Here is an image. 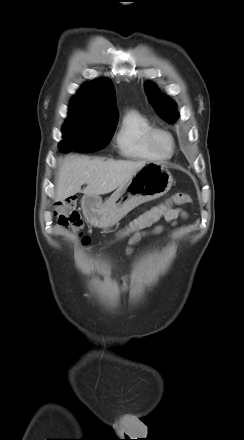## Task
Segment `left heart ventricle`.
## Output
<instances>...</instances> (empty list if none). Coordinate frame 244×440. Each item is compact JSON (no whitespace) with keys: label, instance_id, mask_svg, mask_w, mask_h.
Returning a JSON list of instances; mask_svg holds the SVG:
<instances>
[{"label":"left heart ventricle","instance_id":"left-heart-ventricle-1","mask_svg":"<svg viewBox=\"0 0 244 440\" xmlns=\"http://www.w3.org/2000/svg\"><path fill=\"white\" fill-rule=\"evenodd\" d=\"M155 144L162 152H168L171 149L169 138L163 134H157L155 136Z\"/></svg>","mask_w":244,"mask_h":440}]
</instances>
